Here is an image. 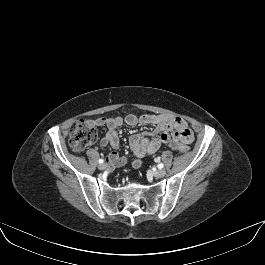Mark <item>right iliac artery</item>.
Listing matches in <instances>:
<instances>
[{
	"label": "right iliac artery",
	"instance_id": "right-iliac-artery-1",
	"mask_svg": "<svg viewBox=\"0 0 265 265\" xmlns=\"http://www.w3.org/2000/svg\"><path fill=\"white\" fill-rule=\"evenodd\" d=\"M98 162H99L100 164H102V163L104 162V160H103V159H99Z\"/></svg>",
	"mask_w": 265,
	"mask_h": 265
}]
</instances>
